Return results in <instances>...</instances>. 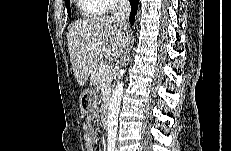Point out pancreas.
I'll list each match as a JSON object with an SVG mask.
<instances>
[{
    "label": "pancreas",
    "instance_id": "obj_1",
    "mask_svg": "<svg viewBox=\"0 0 231 151\" xmlns=\"http://www.w3.org/2000/svg\"><path fill=\"white\" fill-rule=\"evenodd\" d=\"M91 81L96 87H105L108 91H110V85L112 81L111 74H109L105 80L103 75L99 72V65H97L95 68V71L91 77Z\"/></svg>",
    "mask_w": 231,
    "mask_h": 151
}]
</instances>
